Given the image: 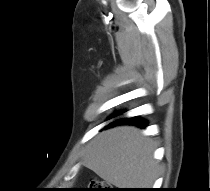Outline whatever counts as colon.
Masks as SVG:
<instances>
[{
    "mask_svg": "<svg viewBox=\"0 0 210 191\" xmlns=\"http://www.w3.org/2000/svg\"><path fill=\"white\" fill-rule=\"evenodd\" d=\"M88 191H111V190L103 181L98 179H93L90 181V188Z\"/></svg>",
    "mask_w": 210,
    "mask_h": 191,
    "instance_id": "5ec220e1",
    "label": "colon"
}]
</instances>
